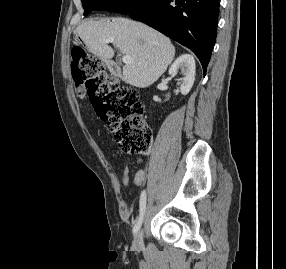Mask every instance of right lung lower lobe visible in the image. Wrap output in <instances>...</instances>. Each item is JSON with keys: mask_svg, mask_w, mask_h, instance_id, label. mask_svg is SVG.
Masks as SVG:
<instances>
[{"mask_svg": "<svg viewBox=\"0 0 286 269\" xmlns=\"http://www.w3.org/2000/svg\"><path fill=\"white\" fill-rule=\"evenodd\" d=\"M220 0H156L130 15L191 49L204 74L215 44Z\"/></svg>", "mask_w": 286, "mask_h": 269, "instance_id": "98d812e1", "label": "right lung lower lobe"}]
</instances>
